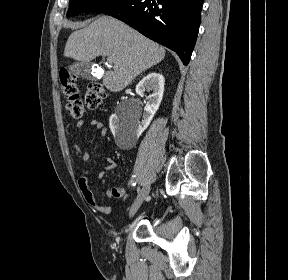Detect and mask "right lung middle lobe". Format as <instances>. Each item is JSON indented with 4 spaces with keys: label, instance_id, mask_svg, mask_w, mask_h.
Instances as JSON below:
<instances>
[{
    "label": "right lung middle lobe",
    "instance_id": "1",
    "mask_svg": "<svg viewBox=\"0 0 288 280\" xmlns=\"http://www.w3.org/2000/svg\"><path fill=\"white\" fill-rule=\"evenodd\" d=\"M123 0H70L68 17L78 15L83 12L96 11L103 12Z\"/></svg>",
    "mask_w": 288,
    "mask_h": 280
}]
</instances>
